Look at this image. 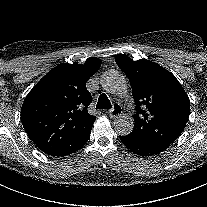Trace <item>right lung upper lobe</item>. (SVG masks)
Masks as SVG:
<instances>
[{"mask_svg": "<svg viewBox=\"0 0 207 207\" xmlns=\"http://www.w3.org/2000/svg\"><path fill=\"white\" fill-rule=\"evenodd\" d=\"M101 65L62 63L49 71L28 93L21 108L23 127L36 146L48 155L74 153L88 138L95 116L88 113L92 96L86 81Z\"/></svg>", "mask_w": 207, "mask_h": 207, "instance_id": "right-lung-upper-lobe-1", "label": "right lung upper lobe"}]
</instances>
